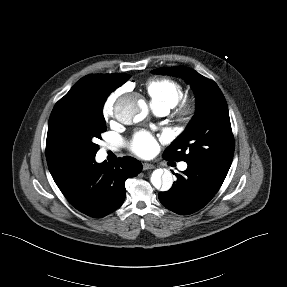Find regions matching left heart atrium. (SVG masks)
Masks as SVG:
<instances>
[{"mask_svg": "<svg viewBox=\"0 0 287 287\" xmlns=\"http://www.w3.org/2000/svg\"><path fill=\"white\" fill-rule=\"evenodd\" d=\"M130 149L138 156L148 157L157 150V142L149 132L139 131L133 136Z\"/></svg>", "mask_w": 287, "mask_h": 287, "instance_id": "39dd6f15", "label": "left heart atrium"}]
</instances>
